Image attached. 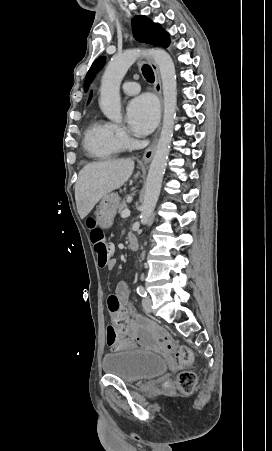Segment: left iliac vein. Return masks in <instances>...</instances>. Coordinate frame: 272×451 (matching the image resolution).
<instances>
[{"mask_svg": "<svg viewBox=\"0 0 272 451\" xmlns=\"http://www.w3.org/2000/svg\"><path fill=\"white\" fill-rule=\"evenodd\" d=\"M151 305H152L151 299L149 297H143V300H142L143 309L147 312H152Z\"/></svg>", "mask_w": 272, "mask_h": 451, "instance_id": "obj_1", "label": "left iliac vein"}]
</instances>
